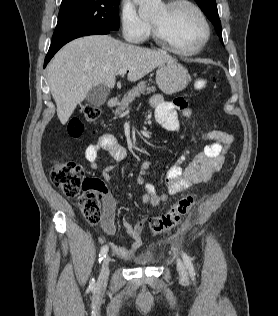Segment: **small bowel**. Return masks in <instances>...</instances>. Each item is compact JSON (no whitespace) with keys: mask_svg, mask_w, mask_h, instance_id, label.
I'll return each instance as SVG.
<instances>
[{"mask_svg":"<svg viewBox=\"0 0 278 316\" xmlns=\"http://www.w3.org/2000/svg\"><path fill=\"white\" fill-rule=\"evenodd\" d=\"M151 105L155 109L157 122L167 131L178 130V113H181L186 120H190L194 114L184 98H177L173 102H167L163 100L161 95H154L151 98ZM200 135L209 143L195 152L193 159L185 168L182 167V163L186 158V154H183L168 169L165 176L167 193H157L155 186L146 182L145 175L152 165L151 161L146 160L141 164L137 183L144 188L143 204L157 207L168 199V195L183 192L192 185L206 182L213 174L221 170L225 162V154L233 144L234 137L221 130L200 132ZM101 150L107 151L114 161L113 164L106 166L102 172L103 180L109 182L112 179L111 173L116 168V163L124 161L128 156V152L112 134H102L96 141L88 144L84 151V157L92 169L98 168V156ZM102 197L103 215L101 228L105 234L114 235L116 232L114 221L116 202L106 189L103 190ZM123 225L127 234L133 240L131 247L125 248L116 244H111L110 247L117 255L126 257L132 255L142 245L141 233L144 227V220L131 223L128 217L125 216Z\"/></svg>","mask_w":278,"mask_h":316,"instance_id":"1","label":"small bowel"}]
</instances>
